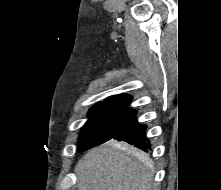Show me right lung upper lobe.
Here are the masks:
<instances>
[{"label":"right lung upper lobe","instance_id":"cb5924a9","mask_svg":"<svg viewBox=\"0 0 221 190\" xmlns=\"http://www.w3.org/2000/svg\"><path fill=\"white\" fill-rule=\"evenodd\" d=\"M131 100H132L131 96L127 94H121V95L108 97L104 101L98 102L95 105H109V106L126 108L125 106L128 105Z\"/></svg>","mask_w":221,"mask_h":190}]
</instances>
